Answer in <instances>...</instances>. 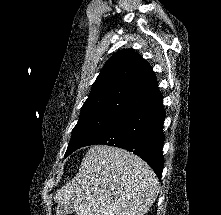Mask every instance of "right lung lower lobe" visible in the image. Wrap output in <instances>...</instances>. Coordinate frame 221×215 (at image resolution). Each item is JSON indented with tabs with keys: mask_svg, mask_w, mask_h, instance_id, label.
Masks as SVG:
<instances>
[{
	"mask_svg": "<svg viewBox=\"0 0 221 215\" xmlns=\"http://www.w3.org/2000/svg\"><path fill=\"white\" fill-rule=\"evenodd\" d=\"M166 113L158 94L139 108L126 114L85 146L104 144L133 152L145 160L161 178L165 140L162 130Z\"/></svg>",
	"mask_w": 221,
	"mask_h": 215,
	"instance_id": "1",
	"label": "right lung lower lobe"
}]
</instances>
